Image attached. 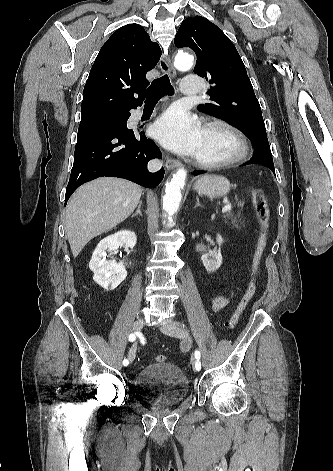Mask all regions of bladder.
Listing matches in <instances>:
<instances>
[{"label":"bladder","instance_id":"obj_1","mask_svg":"<svg viewBox=\"0 0 333 471\" xmlns=\"http://www.w3.org/2000/svg\"><path fill=\"white\" fill-rule=\"evenodd\" d=\"M189 391V380L184 371L171 362L145 365L134 380L135 395L151 405H175Z\"/></svg>","mask_w":333,"mask_h":471}]
</instances>
